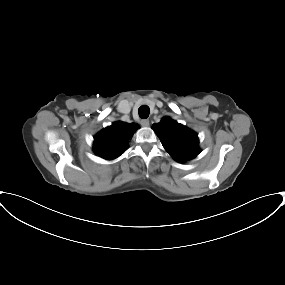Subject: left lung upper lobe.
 Returning <instances> with one entry per match:
<instances>
[{"label": "left lung upper lobe", "mask_w": 285, "mask_h": 285, "mask_svg": "<svg viewBox=\"0 0 285 285\" xmlns=\"http://www.w3.org/2000/svg\"><path fill=\"white\" fill-rule=\"evenodd\" d=\"M152 128L165 150L178 162L191 160L201 152L198 135L169 117L153 124Z\"/></svg>", "instance_id": "1"}]
</instances>
